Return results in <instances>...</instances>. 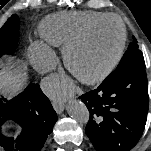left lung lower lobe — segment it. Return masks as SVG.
Instances as JSON below:
<instances>
[{"label": "left lung lower lobe", "mask_w": 151, "mask_h": 151, "mask_svg": "<svg viewBox=\"0 0 151 151\" xmlns=\"http://www.w3.org/2000/svg\"><path fill=\"white\" fill-rule=\"evenodd\" d=\"M80 99L90 112L86 134L97 151H129L139 141L149 108L145 66L133 65Z\"/></svg>", "instance_id": "0a47b994"}]
</instances>
